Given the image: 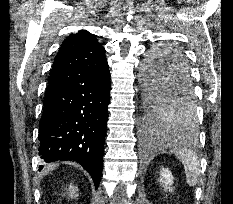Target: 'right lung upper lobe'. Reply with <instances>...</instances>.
Segmentation results:
<instances>
[{"mask_svg": "<svg viewBox=\"0 0 233 204\" xmlns=\"http://www.w3.org/2000/svg\"><path fill=\"white\" fill-rule=\"evenodd\" d=\"M107 64L105 49L95 36L85 30L68 36L52 65L47 90L58 87L79 71L97 69Z\"/></svg>", "mask_w": 233, "mask_h": 204, "instance_id": "1", "label": "right lung upper lobe"}]
</instances>
